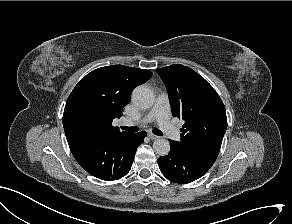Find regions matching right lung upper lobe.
Listing matches in <instances>:
<instances>
[{"mask_svg":"<svg viewBox=\"0 0 292 224\" xmlns=\"http://www.w3.org/2000/svg\"><path fill=\"white\" fill-rule=\"evenodd\" d=\"M151 77L149 70L124 65L101 67L87 74L65 105L63 126L67 140L130 134L112 126V121L122 116L133 89Z\"/></svg>","mask_w":292,"mask_h":224,"instance_id":"right-lung-upper-lobe-1","label":"right lung upper lobe"}]
</instances>
